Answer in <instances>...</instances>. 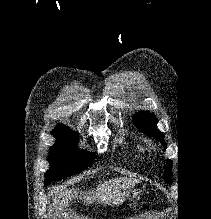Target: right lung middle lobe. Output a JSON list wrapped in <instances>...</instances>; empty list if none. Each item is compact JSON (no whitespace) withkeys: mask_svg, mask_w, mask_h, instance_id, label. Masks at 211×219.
Returning <instances> with one entry per match:
<instances>
[{"mask_svg":"<svg viewBox=\"0 0 211 219\" xmlns=\"http://www.w3.org/2000/svg\"><path fill=\"white\" fill-rule=\"evenodd\" d=\"M55 144L50 147L48 162L51 168L45 174V184L76 174L94 163L91 152L80 151L78 136L70 128L58 125L54 129Z\"/></svg>","mask_w":211,"mask_h":219,"instance_id":"right-lung-middle-lobe-1","label":"right lung middle lobe"}]
</instances>
